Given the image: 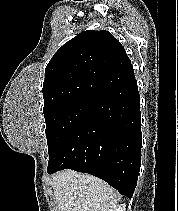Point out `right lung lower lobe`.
I'll return each instance as SVG.
<instances>
[{"mask_svg":"<svg viewBox=\"0 0 178 211\" xmlns=\"http://www.w3.org/2000/svg\"><path fill=\"white\" fill-rule=\"evenodd\" d=\"M141 113L134 78L99 98L49 156L48 173L72 169L131 198L141 166Z\"/></svg>","mask_w":178,"mask_h":211,"instance_id":"right-lung-lower-lobe-1","label":"right lung lower lobe"}]
</instances>
